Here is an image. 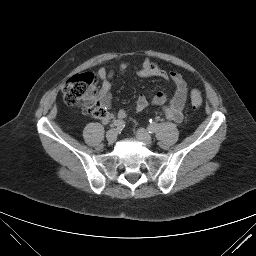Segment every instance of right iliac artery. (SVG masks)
I'll return each mask as SVG.
<instances>
[{
    "label": "right iliac artery",
    "mask_w": 256,
    "mask_h": 256,
    "mask_svg": "<svg viewBox=\"0 0 256 256\" xmlns=\"http://www.w3.org/2000/svg\"><path fill=\"white\" fill-rule=\"evenodd\" d=\"M125 126V122L123 120H115L110 124L111 128L117 127L122 129Z\"/></svg>",
    "instance_id": "obj_1"
}]
</instances>
